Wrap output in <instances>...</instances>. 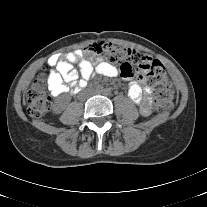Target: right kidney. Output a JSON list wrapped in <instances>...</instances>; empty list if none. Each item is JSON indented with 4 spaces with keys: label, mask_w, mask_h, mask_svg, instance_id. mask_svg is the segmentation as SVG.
Masks as SVG:
<instances>
[{
    "label": "right kidney",
    "mask_w": 207,
    "mask_h": 207,
    "mask_svg": "<svg viewBox=\"0 0 207 207\" xmlns=\"http://www.w3.org/2000/svg\"><path fill=\"white\" fill-rule=\"evenodd\" d=\"M52 111H53L54 114H59V113H61L62 108L59 105L56 104V105L53 106Z\"/></svg>",
    "instance_id": "obj_1"
}]
</instances>
